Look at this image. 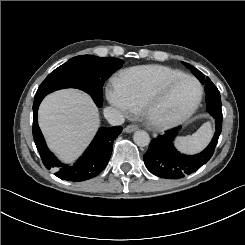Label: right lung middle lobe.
Returning a JSON list of instances; mask_svg holds the SVG:
<instances>
[{
    "label": "right lung middle lobe",
    "mask_w": 245,
    "mask_h": 245,
    "mask_svg": "<svg viewBox=\"0 0 245 245\" xmlns=\"http://www.w3.org/2000/svg\"><path fill=\"white\" fill-rule=\"evenodd\" d=\"M123 61L114 57L81 55L56 68L39 86L35 98L63 89L78 88L89 93L98 107L102 106V87L105 80Z\"/></svg>",
    "instance_id": "right-lung-middle-lobe-1"
}]
</instances>
